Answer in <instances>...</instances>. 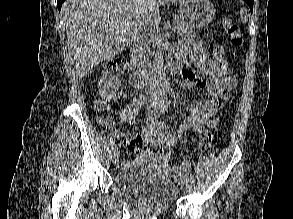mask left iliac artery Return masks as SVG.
Listing matches in <instances>:
<instances>
[{
    "label": "left iliac artery",
    "instance_id": "1",
    "mask_svg": "<svg viewBox=\"0 0 293 219\" xmlns=\"http://www.w3.org/2000/svg\"><path fill=\"white\" fill-rule=\"evenodd\" d=\"M168 93L172 98L175 99V94H174V91L172 89H168ZM183 166H184V168H186V170H188L189 173H191V166H190V164H189V162L187 160H184Z\"/></svg>",
    "mask_w": 293,
    "mask_h": 219
}]
</instances>
